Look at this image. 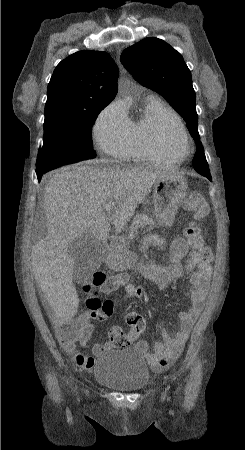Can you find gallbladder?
Returning <instances> with one entry per match:
<instances>
[{
  "label": "gallbladder",
  "instance_id": "bac80fb5",
  "mask_svg": "<svg viewBox=\"0 0 245 450\" xmlns=\"http://www.w3.org/2000/svg\"><path fill=\"white\" fill-rule=\"evenodd\" d=\"M74 259V279L79 280L86 273L97 269L104 257L103 245L90 235L77 238L68 249Z\"/></svg>",
  "mask_w": 245,
  "mask_h": 450
}]
</instances>
